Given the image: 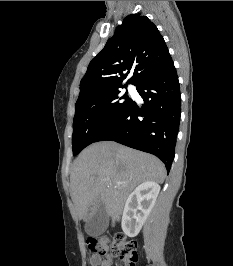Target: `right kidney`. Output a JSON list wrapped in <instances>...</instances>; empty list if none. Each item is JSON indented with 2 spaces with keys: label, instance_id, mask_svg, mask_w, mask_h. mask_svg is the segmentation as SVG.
<instances>
[{
  "label": "right kidney",
  "instance_id": "ca27d5eb",
  "mask_svg": "<svg viewBox=\"0 0 233 266\" xmlns=\"http://www.w3.org/2000/svg\"><path fill=\"white\" fill-rule=\"evenodd\" d=\"M159 191L158 183L147 181L136 187L128 197L122 216V229L127 236L138 235L155 204Z\"/></svg>",
  "mask_w": 233,
  "mask_h": 266
}]
</instances>
